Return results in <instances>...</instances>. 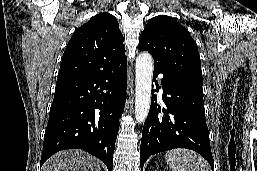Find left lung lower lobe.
<instances>
[{
  "mask_svg": "<svg viewBox=\"0 0 257 171\" xmlns=\"http://www.w3.org/2000/svg\"><path fill=\"white\" fill-rule=\"evenodd\" d=\"M162 73L164 106L152 95L149 115L143 127L141 169L153 154L173 148H188L201 154L214 168L209 131L205 119L202 86L186 75L154 65L153 81ZM156 88L154 91H158ZM153 91V92H154Z\"/></svg>",
  "mask_w": 257,
  "mask_h": 171,
  "instance_id": "1",
  "label": "left lung lower lobe"
}]
</instances>
